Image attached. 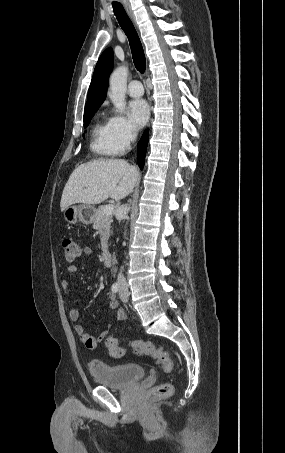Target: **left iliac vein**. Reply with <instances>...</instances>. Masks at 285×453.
<instances>
[{
  "mask_svg": "<svg viewBox=\"0 0 285 453\" xmlns=\"http://www.w3.org/2000/svg\"><path fill=\"white\" fill-rule=\"evenodd\" d=\"M119 296L123 302H127L129 299L128 286L125 283L120 286Z\"/></svg>",
  "mask_w": 285,
  "mask_h": 453,
  "instance_id": "obj_1",
  "label": "left iliac vein"
}]
</instances>
